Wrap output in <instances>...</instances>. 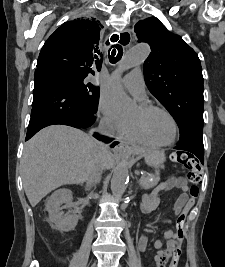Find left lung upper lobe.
Listing matches in <instances>:
<instances>
[{
    "label": "left lung upper lobe",
    "mask_w": 225,
    "mask_h": 267,
    "mask_svg": "<svg viewBox=\"0 0 225 267\" xmlns=\"http://www.w3.org/2000/svg\"><path fill=\"white\" fill-rule=\"evenodd\" d=\"M134 30L139 42L151 47L144 62L146 85L177 122L178 144L202 138L203 75L198 55L156 17L139 21Z\"/></svg>",
    "instance_id": "left-lung-upper-lobe-1"
}]
</instances>
